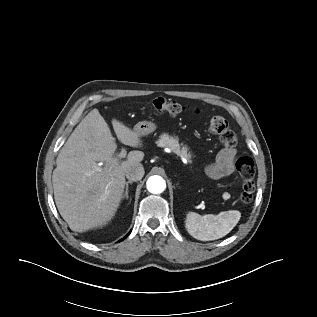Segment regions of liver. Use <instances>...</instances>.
<instances>
[{
  "instance_id": "6515ba94",
  "label": "liver",
  "mask_w": 317,
  "mask_h": 317,
  "mask_svg": "<svg viewBox=\"0 0 317 317\" xmlns=\"http://www.w3.org/2000/svg\"><path fill=\"white\" fill-rule=\"evenodd\" d=\"M117 138L131 147L142 140L120 121L112 120ZM115 138L97 109L79 123L61 148L53 171L54 199L62 218L75 232L106 225L116 214L123 198L125 175L134 165H142V151H131L127 160L114 157ZM96 162H104V167Z\"/></svg>"
}]
</instances>
